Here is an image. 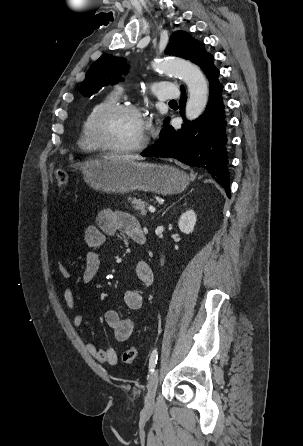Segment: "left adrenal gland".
I'll list each match as a JSON object with an SVG mask.
<instances>
[{
    "label": "left adrenal gland",
    "mask_w": 303,
    "mask_h": 446,
    "mask_svg": "<svg viewBox=\"0 0 303 446\" xmlns=\"http://www.w3.org/2000/svg\"><path fill=\"white\" fill-rule=\"evenodd\" d=\"M190 192H192V190L190 191ZM186 195H184L182 198H184ZM182 198H180V200L182 199ZM175 204V203H174ZM174 204H172L171 206H169L164 212H163V214H162V216H164V214L169 210V208H171Z\"/></svg>",
    "instance_id": "1"
}]
</instances>
